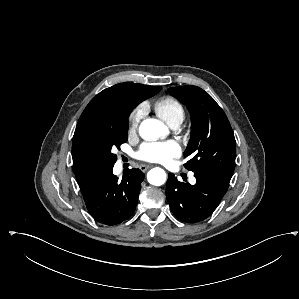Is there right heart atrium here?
<instances>
[{
  "label": "right heart atrium",
  "instance_id": "obj_1",
  "mask_svg": "<svg viewBox=\"0 0 299 299\" xmlns=\"http://www.w3.org/2000/svg\"><path fill=\"white\" fill-rule=\"evenodd\" d=\"M146 108L144 104L136 106L129 114L128 117V129L133 133L136 131L141 119L144 117Z\"/></svg>",
  "mask_w": 299,
  "mask_h": 299
}]
</instances>
